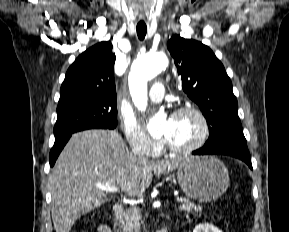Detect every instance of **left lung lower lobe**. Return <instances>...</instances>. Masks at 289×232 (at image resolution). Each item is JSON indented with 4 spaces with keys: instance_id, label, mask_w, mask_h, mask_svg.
Returning <instances> with one entry per match:
<instances>
[{
    "instance_id": "0a47b994",
    "label": "left lung lower lobe",
    "mask_w": 289,
    "mask_h": 232,
    "mask_svg": "<svg viewBox=\"0 0 289 232\" xmlns=\"http://www.w3.org/2000/svg\"><path fill=\"white\" fill-rule=\"evenodd\" d=\"M194 155H208V154H222L236 157L245 163L252 169L251 157L245 142H235L222 144L213 147H202L196 151H193Z\"/></svg>"
}]
</instances>
